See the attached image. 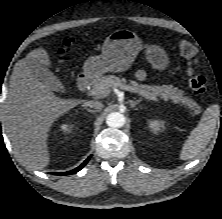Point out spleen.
Here are the masks:
<instances>
[{
  "label": "spleen",
  "instance_id": "spleen-1",
  "mask_svg": "<svg viewBox=\"0 0 222 219\" xmlns=\"http://www.w3.org/2000/svg\"><path fill=\"white\" fill-rule=\"evenodd\" d=\"M219 116L220 107L217 104L209 106L204 111L201 121L184 143L180 153V159H192L207 146L214 135Z\"/></svg>",
  "mask_w": 222,
  "mask_h": 219
}]
</instances>
